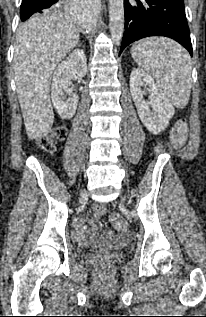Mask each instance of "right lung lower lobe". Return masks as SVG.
Wrapping results in <instances>:
<instances>
[{"instance_id":"obj_1","label":"right lung lower lobe","mask_w":206,"mask_h":317,"mask_svg":"<svg viewBox=\"0 0 206 317\" xmlns=\"http://www.w3.org/2000/svg\"><path fill=\"white\" fill-rule=\"evenodd\" d=\"M59 0H33L31 3L38 8H41L37 13H43L54 6Z\"/></svg>"}]
</instances>
